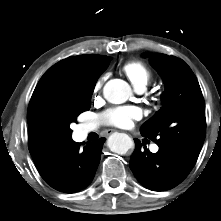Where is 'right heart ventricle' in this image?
Returning a JSON list of instances; mask_svg holds the SVG:
<instances>
[{"instance_id":"1","label":"right heart ventricle","mask_w":221,"mask_h":221,"mask_svg":"<svg viewBox=\"0 0 221 221\" xmlns=\"http://www.w3.org/2000/svg\"><path fill=\"white\" fill-rule=\"evenodd\" d=\"M123 71L134 87H146L152 77L149 68L141 61H130L123 66Z\"/></svg>"}]
</instances>
